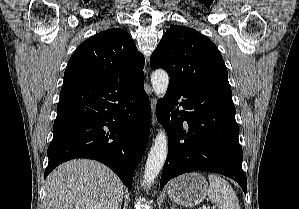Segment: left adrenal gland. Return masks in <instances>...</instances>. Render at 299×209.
Masks as SVG:
<instances>
[{
    "label": "left adrenal gland",
    "mask_w": 299,
    "mask_h": 209,
    "mask_svg": "<svg viewBox=\"0 0 299 209\" xmlns=\"http://www.w3.org/2000/svg\"><path fill=\"white\" fill-rule=\"evenodd\" d=\"M175 207H176V206L173 204V206H172L170 209H176Z\"/></svg>",
    "instance_id": "obj_1"
}]
</instances>
